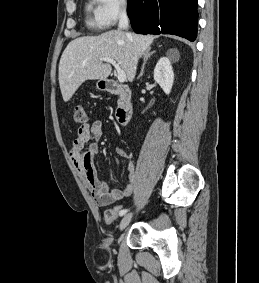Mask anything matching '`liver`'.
I'll use <instances>...</instances> for the list:
<instances>
[{
  "label": "liver",
  "mask_w": 259,
  "mask_h": 283,
  "mask_svg": "<svg viewBox=\"0 0 259 283\" xmlns=\"http://www.w3.org/2000/svg\"><path fill=\"white\" fill-rule=\"evenodd\" d=\"M155 36L111 30L99 36L79 37L65 48L59 62V85L65 102L86 80H106L111 73L110 64L100 61L114 59L124 70L128 81L136 75L141 55L150 50Z\"/></svg>",
  "instance_id": "1"
}]
</instances>
